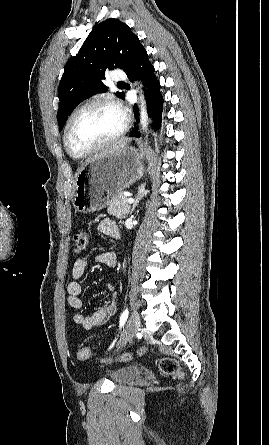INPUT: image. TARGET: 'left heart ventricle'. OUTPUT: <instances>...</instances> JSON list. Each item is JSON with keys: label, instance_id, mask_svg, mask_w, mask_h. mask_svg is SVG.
Returning <instances> with one entry per match:
<instances>
[{"label": "left heart ventricle", "instance_id": "b2bd125f", "mask_svg": "<svg viewBox=\"0 0 269 445\" xmlns=\"http://www.w3.org/2000/svg\"><path fill=\"white\" fill-rule=\"evenodd\" d=\"M122 113L108 105H96L78 114L68 134V143L76 153L86 152L113 137L122 127Z\"/></svg>", "mask_w": 269, "mask_h": 445}]
</instances>
